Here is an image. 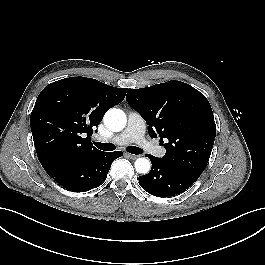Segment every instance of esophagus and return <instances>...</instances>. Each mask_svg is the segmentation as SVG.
<instances>
[{
	"label": "esophagus",
	"mask_w": 265,
	"mask_h": 265,
	"mask_svg": "<svg viewBox=\"0 0 265 265\" xmlns=\"http://www.w3.org/2000/svg\"><path fill=\"white\" fill-rule=\"evenodd\" d=\"M126 156L132 160H135L138 158V155H134V154H130V153H126Z\"/></svg>",
	"instance_id": "1"
}]
</instances>
